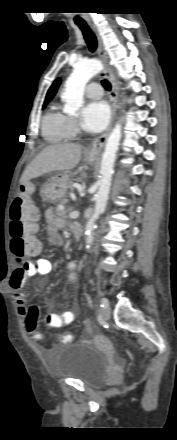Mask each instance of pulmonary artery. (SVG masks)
Returning <instances> with one entry per match:
<instances>
[{
  "instance_id": "pulmonary-artery-1",
  "label": "pulmonary artery",
  "mask_w": 177,
  "mask_h": 440,
  "mask_svg": "<svg viewBox=\"0 0 177 440\" xmlns=\"http://www.w3.org/2000/svg\"><path fill=\"white\" fill-rule=\"evenodd\" d=\"M86 95L91 99H99L103 95V89L98 83H91L86 88Z\"/></svg>"
}]
</instances>
